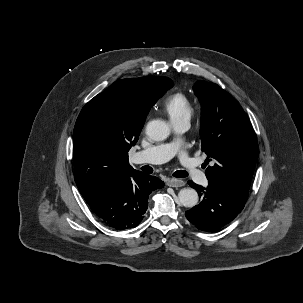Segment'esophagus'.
Segmentation results:
<instances>
[{
	"instance_id": "obj_1",
	"label": "esophagus",
	"mask_w": 303,
	"mask_h": 303,
	"mask_svg": "<svg viewBox=\"0 0 303 303\" xmlns=\"http://www.w3.org/2000/svg\"><path fill=\"white\" fill-rule=\"evenodd\" d=\"M169 187H174V188H178V187H182L185 185V182L181 179H176V178H171L167 180L166 183Z\"/></svg>"
}]
</instances>
